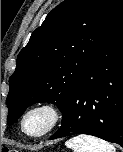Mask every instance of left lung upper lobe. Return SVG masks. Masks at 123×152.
<instances>
[{"mask_svg":"<svg viewBox=\"0 0 123 152\" xmlns=\"http://www.w3.org/2000/svg\"><path fill=\"white\" fill-rule=\"evenodd\" d=\"M122 7L120 0H65L47 15L17 57L8 125L34 103L63 110Z\"/></svg>","mask_w":123,"mask_h":152,"instance_id":"1","label":"left lung upper lobe"}]
</instances>
